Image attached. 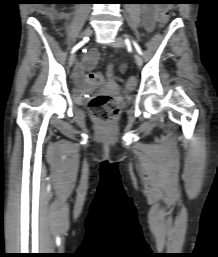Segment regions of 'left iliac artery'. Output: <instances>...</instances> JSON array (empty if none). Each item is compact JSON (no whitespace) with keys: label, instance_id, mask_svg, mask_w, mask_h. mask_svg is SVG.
Listing matches in <instances>:
<instances>
[{"label":"left iliac artery","instance_id":"44dca946","mask_svg":"<svg viewBox=\"0 0 218 257\" xmlns=\"http://www.w3.org/2000/svg\"><path fill=\"white\" fill-rule=\"evenodd\" d=\"M126 42H127V43L130 42V40H129V39H126ZM131 42L133 43V45H134L135 49L137 50V52H138L140 55H142V50H141L140 46L138 45V43H137L136 41H134V40H131Z\"/></svg>","mask_w":218,"mask_h":257}]
</instances>
